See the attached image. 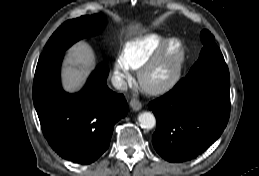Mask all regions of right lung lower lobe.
I'll return each mask as SVG.
<instances>
[{"instance_id":"98d812e1","label":"right lung lower lobe","mask_w":259,"mask_h":176,"mask_svg":"<svg viewBox=\"0 0 259 176\" xmlns=\"http://www.w3.org/2000/svg\"><path fill=\"white\" fill-rule=\"evenodd\" d=\"M63 56L64 52H59L38 61L34 106L53 150L69 161L89 164L107 150L114 124L127 115L128 105L122 94L108 88L105 63L96 68L80 92H64L60 85Z\"/></svg>"}]
</instances>
